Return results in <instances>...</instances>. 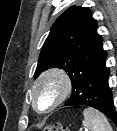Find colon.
I'll return each mask as SVG.
<instances>
[{
	"label": "colon",
	"instance_id": "obj_1",
	"mask_svg": "<svg viewBox=\"0 0 117 131\" xmlns=\"http://www.w3.org/2000/svg\"><path fill=\"white\" fill-rule=\"evenodd\" d=\"M41 131H70L68 127L62 124H50L45 126Z\"/></svg>",
	"mask_w": 117,
	"mask_h": 131
}]
</instances>
